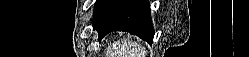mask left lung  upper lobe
Returning a JSON list of instances; mask_svg holds the SVG:
<instances>
[{
  "label": "left lung upper lobe",
  "instance_id": "obj_1",
  "mask_svg": "<svg viewBox=\"0 0 249 57\" xmlns=\"http://www.w3.org/2000/svg\"><path fill=\"white\" fill-rule=\"evenodd\" d=\"M107 2V0H97L96 4H95V9H94V15L96 14V12L100 9V7Z\"/></svg>",
  "mask_w": 249,
  "mask_h": 57
}]
</instances>
